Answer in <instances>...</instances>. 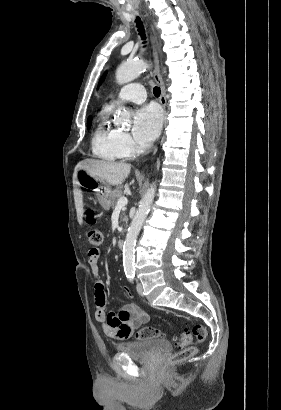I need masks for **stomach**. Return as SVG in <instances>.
I'll list each match as a JSON object with an SVG mask.
<instances>
[{
  "instance_id": "obj_1",
  "label": "stomach",
  "mask_w": 281,
  "mask_h": 410,
  "mask_svg": "<svg viewBox=\"0 0 281 410\" xmlns=\"http://www.w3.org/2000/svg\"><path fill=\"white\" fill-rule=\"evenodd\" d=\"M78 186L96 192L104 210H109L112 202V190L105 179L93 176L87 170L75 167Z\"/></svg>"
}]
</instances>
